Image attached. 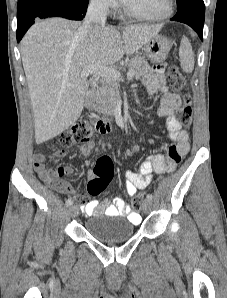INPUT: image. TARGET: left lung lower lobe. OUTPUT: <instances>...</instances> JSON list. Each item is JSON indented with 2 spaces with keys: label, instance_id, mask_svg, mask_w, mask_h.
Segmentation results:
<instances>
[{
  "label": "left lung lower lobe",
  "instance_id": "obj_1",
  "mask_svg": "<svg viewBox=\"0 0 227 298\" xmlns=\"http://www.w3.org/2000/svg\"><path fill=\"white\" fill-rule=\"evenodd\" d=\"M205 11L200 10L195 6H190L183 10H178L177 14L171 20L178 21L192 27L203 40V25Z\"/></svg>",
  "mask_w": 227,
  "mask_h": 298
}]
</instances>
